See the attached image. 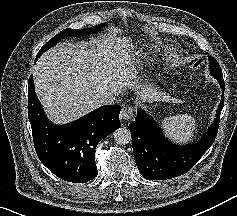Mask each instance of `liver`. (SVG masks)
Here are the masks:
<instances>
[{
    "instance_id": "liver-1",
    "label": "liver",
    "mask_w": 237,
    "mask_h": 216,
    "mask_svg": "<svg viewBox=\"0 0 237 216\" xmlns=\"http://www.w3.org/2000/svg\"><path fill=\"white\" fill-rule=\"evenodd\" d=\"M38 99L54 124H66L101 106V93L109 88L134 90L144 101L157 100L148 86L139 84L134 67L120 64L117 46L110 39L59 43L34 66ZM141 89V90H140Z\"/></svg>"
}]
</instances>
